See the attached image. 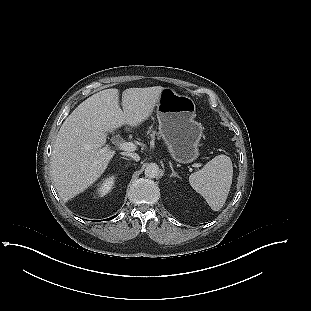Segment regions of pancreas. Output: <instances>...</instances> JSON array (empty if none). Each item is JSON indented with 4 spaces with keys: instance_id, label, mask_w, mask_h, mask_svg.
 Returning <instances> with one entry per match:
<instances>
[{
    "instance_id": "cf45deb5",
    "label": "pancreas",
    "mask_w": 311,
    "mask_h": 311,
    "mask_svg": "<svg viewBox=\"0 0 311 311\" xmlns=\"http://www.w3.org/2000/svg\"><path fill=\"white\" fill-rule=\"evenodd\" d=\"M155 135H158V133L156 131H152V133L150 134V137L154 139Z\"/></svg>"
}]
</instances>
